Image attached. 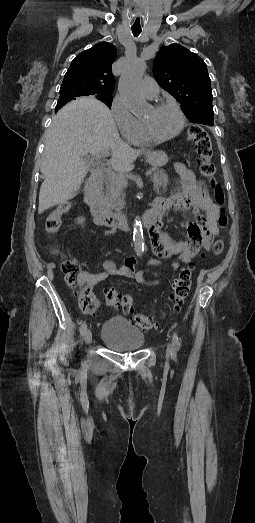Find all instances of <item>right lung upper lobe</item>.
<instances>
[{
	"label": "right lung upper lobe",
	"instance_id": "cb5924a9",
	"mask_svg": "<svg viewBox=\"0 0 255 523\" xmlns=\"http://www.w3.org/2000/svg\"><path fill=\"white\" fill-rule=\"evenodd\" d=\"M117 56L116 47L108 42H100L77 55L64 76L60 92L78 96H104L114 91L115 77L112 63ZM67 101H58L55 112Z\"/></svg>",
	"mask_w": 255,
	"mask_h": 523
}]
</instances>
